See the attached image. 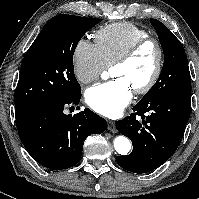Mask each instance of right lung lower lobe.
<instances>
[{"instance_id": "98d812e1", "label": "right lung lower lobe", "mask_w": 199, "mask_h": 199, "mask_svg": "<svg viewBox=\"0 0 199 199\" xmlns=\"http://www.w3.org/2000/svg\"><path fill=\"white\" fill-rule=\"evenodd\" d=\"M81 95L57 105H46L16 120L19 137L28 153L42 166L61 170L81 159L85 139L105 131L106 120L89 109L75 115L64 107L78 104Z\"/></svg>"}]
</instances>
